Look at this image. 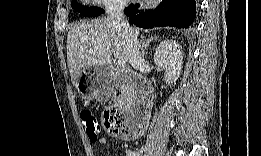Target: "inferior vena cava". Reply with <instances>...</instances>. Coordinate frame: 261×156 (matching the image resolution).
I'll return each instance as SVG.
<instances>
[{
  "label": "inferior vena cava",
  "mask_w": 261,
  "mask_h": 156,
  "mask_svg": "<svg viewBox=\"0 0 261 156\" xmlns=\"http://www.w3.org/2000/svg\"><path fill=\"white\" fill-rule=\"evenodd\" d=\"M126 4V1L113 0L107 5V13L114 27L126 40L129 63L134 69L138 70L143 65V58L137 37L123 13Z\"/></svg>",
  "instance_id": "obj_1"
}]
</instances>
